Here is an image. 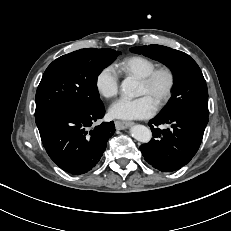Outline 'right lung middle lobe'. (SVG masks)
Listing matches in <instances>:
<instances>
[{
	"label": "right lung middle lobe",
	"mask_w": 231,
	"mask_h": 231,
	"mask_svg": "<svg viewBox=\"0 0 231 231\" xmlns=\"http://www.w3.org/2000/svg\"><path fill=\"white\" fill-rule=\"evenodd\" d=\"M119 53L112 49L85 48L53 61L36 92L35 117L57 109L87 111L102 106L97 77Z\"/></svg>",
	"instance_id": "obj_1"
}]
</instances>
